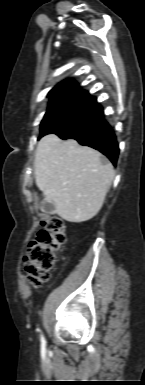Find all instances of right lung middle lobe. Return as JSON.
Returning a JSON list of instances; mask_svg holds the SVG:
<instances>
[{
    "label": "right lung middle lobe",
    "instance_id": "1",
    "mask_svg": "<svg viewBox=\"0 0 145 385\" xmlns=\"http://www.w3.org/2000/svg\"><path fill=\"white\" fill-rule=\"evenodd\" d=\"M96 103V98L85 91L70 92L54 97L41 122L40 137L58 133L68 127Z\"/></svg>",
    "mask_w": 145,
    "mask_h": 385
}]
</instances>
